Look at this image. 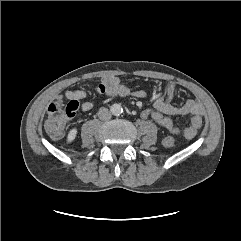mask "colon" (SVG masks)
Listing matches in <instances>:
<instances>
[{
    "label": "colon",
    "mask_w": 241,
    "mask_h": 241,
    "mask_svg": "<svg viewBox=\"0 0 241 241\" xmlns=\"http://www.w3.org/2000/svg\"><path fill=\"white\" fill-rule=\"evenodd\" d=\"M95 89L104 93L105 87L102 83L95 86ZM79 108V102L77 100H71L65 104L62 100H56L52 102L47 109V118L45 121V130L53 138H60L66 126V122L72 118ZM150 117L160 126L167 129L174 135H179L185 139H191L195 137L202 127V120L200 117H193L191 123L187 128H178L172 119L156 110L151 111ZM164 145L168 148L176 146V141L173 137H167L164 140Z\"/></svg>",
    "instance_id": "colon-1"
}]
</instances>
